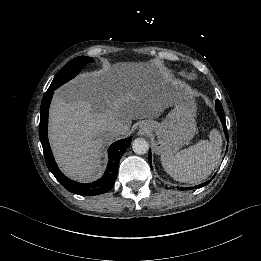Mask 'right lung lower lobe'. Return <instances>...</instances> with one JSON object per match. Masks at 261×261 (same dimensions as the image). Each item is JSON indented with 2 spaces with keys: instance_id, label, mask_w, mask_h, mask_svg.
<instances>
[{
  "instance_id": "obj_1",
  "label": "right lung lower lobe",
  "mask_w": 261,
  "mask_h": 261,
  "mask_svg": "<svg viewBox=\"0 0 261 261\" xmlns=\"http://www.w3.org/2000/svg\"><path fill=\"white\" fill-rule=\"evenodd\" d=\"M54 91L46 92L40 109L39 138L43 147L46 165L50 172L68 191L78 195L94 196L107 193L114 185L119 161L126 149L130 146L132 137L113 143L108 149L109 161L103 176L91 183H79L66 177L59 169L53 158L48 142V110Z\"/></svg>"
}]
</instances>
